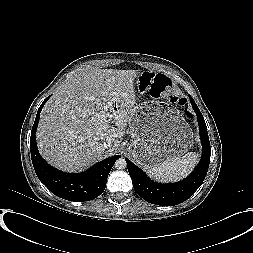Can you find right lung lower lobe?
<instances>
[{
    "mask_svg": "<svg viewBox=\"0 0 253 253\" xmlns=\"http://www.w3.org/2000/svg\"><path fill=\"white\" fill-rule=\"evenodd\" d=\"M49 97L39 107L31 130L30 151L35 172L39 180L58 197L76 202L93 200L103 193L109 172L120 155L98 162L79 174L62 172L46 163L38 152L35 133L41 110Z\"/></svg>",
    "mask_w": 253,
    "mask_h": 253,
    "instance_id": "98d812e1",
    "label": "right lung lower lobe"
}]
</instances>
